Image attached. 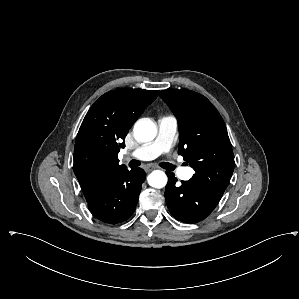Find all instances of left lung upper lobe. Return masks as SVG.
<instances>
[{"label":"left lung upper lobe","mask_w":299,"mask_h":299,"mask_svg":"<svg viewBox=\"0 0 299 299\" xmlns=\"http://www.w3.org/2000/svg\"><path fill=\"white\" fill-rule=\"evenodd\" d=\"M160 97L177 118L179 154L195 170L192 180L223 195L234 170V155L224 121L203 95L163 90Z\"/></svg>","instance_id":"5c2ea615"}]
</instances>
